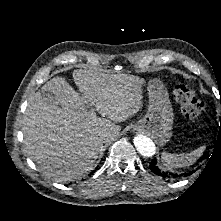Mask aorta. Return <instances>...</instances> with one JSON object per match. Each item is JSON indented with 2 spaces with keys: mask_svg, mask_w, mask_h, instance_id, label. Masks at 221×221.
Returning a JSON list of instances; mask_svg holds the SVG:
<instances>
[{
  "mask_svg": "<svg viewBox=\"0 0 221 221\" xmlns=\"http://www.w3.org/2000/svg\"><path fill=\"white\" fill-rule=\"evenodd\" d=\"M133 143L137 151L145 157H152L156 152L153 141L144 135L135 136Z\"/></svg>",
  "mask_w": 221,
  "mask_h": 221,
  "instance_id": "obj_1",
  "label": "aorta"
}]
</instances>
